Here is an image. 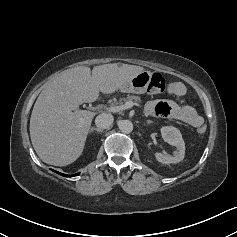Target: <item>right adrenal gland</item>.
I'll return each mask as SVG.
<instances>
[{
	"mask_svg": "<svg viewBox=\"0 0 237 237\" xmlns=\"http://www.w3.org/2000/svg\"><path fill=\"white\" fill-rule=\"evenodd\" d=\"M93 131L102 132L103 130L97 127H91L89 132H93Z\"/></svg>",
	"mask_w": 237,
	"mask_h": 237,
	"instance_id": "obj_1",
	"label": "right adrenal gland"
}]
</instances>
